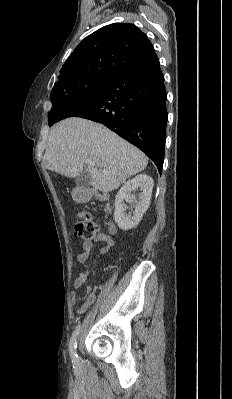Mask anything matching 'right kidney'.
<instances>
[{
    "label": "right kidney",
    "instance_id": "ca27d5eb",
    "mask_svg": "<svg viewBox=\"0 0 232 399\" xmlns=\"http://www.w3.org/2000/svg\"><path fill=\"white\" fill-rule=\"evenodd\" d=\"M154 182L151 176L147 174H139L133 180H128L121 190H119L115 198L114 219L120 229H132L138 225L143 217L146 209L150 205ZM124 200L133 203L135 209L134 215L126 213V205Z\"/></svg>",
    "mask_w": 232,
    "mask_h": 399
}]
</instances>
